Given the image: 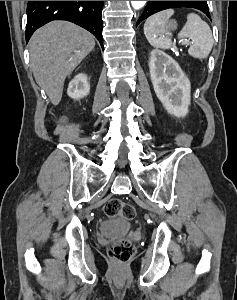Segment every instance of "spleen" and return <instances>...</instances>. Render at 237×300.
I'll return each mask as SVG.
<instances>
[{"instance_id": "spleen-1", "label": "spleen", "mask_w": 237, "mask_h": 300, "mask_svg": "<svg viewBox=\"0 0 237 300\" xmlns=\"http://www.w3.org/2000/svg\"><path fill=\"white\" fill-rule=\"evenodd\" d=\"M172 15H174L173 9H166V11H160L147 19L144 25V35L152 47H156V49L172 47L170 33L166 31V23ZM162 35H167V37H162ZM178 39H192L188 53L194 59H206L214 43L209 25L195 13L187 15V23L180 31Z\"/></svg>"}]
</instances>
